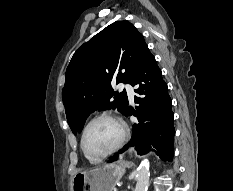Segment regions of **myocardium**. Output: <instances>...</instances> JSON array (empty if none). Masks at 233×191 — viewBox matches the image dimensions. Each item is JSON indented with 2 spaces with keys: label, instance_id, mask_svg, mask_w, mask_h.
<instances>
[{
  "label": "myocardium",
  "instance_id": "obj_1",
  "mask_svg": "<svg viewBox=\"0 0 233 191\" xmlns=\"http://www.w3.org/2000/svg\"><path fill=\"white\" fill-rule=\"evenodd\" d=\"M101 119H108V120L114 121L117 124H119V126L121 128V135H120V138L117 141V143L111 149H109L107 152L100 154V155H92L86 149L85 137H86V133H87L88 128L95 121H98ZM127 136H128V128H127L126 123L121 118H119L113 114H110V113H100V114L94 116L93 118H91L84 126L83 131H82V135H81V149L86 157L93 159V160H102V159L112 155L116 151H118L125 143Z\"/></svg>",
  "mask_w": 233,
  "mask_h": 191
}]
</instances>
